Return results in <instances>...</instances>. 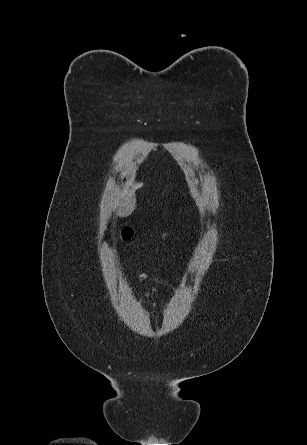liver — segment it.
Here are the masks:
<instances>
[{"label":"liver","instance_id":"6515ba94","mask_svg":"<svg viewBox=\"0 0 307 445\" xmlns=\"http://www.w3.org/2000/svg\"><path fill=\"white\" fill-rule=\"evenodd\" d=\"M143 182H134L131 184V188H127L126 184H123V188L119 194L121 200H118L117 214L118 216H129L136 208V190L141 188Z\"/></svg>","mask_w":307,"mask_h":445}]
</instances>
